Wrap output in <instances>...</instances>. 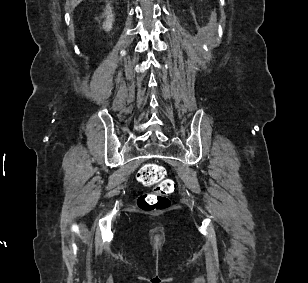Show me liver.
Instances as JSON below:
<instances>
[{
    "label": "liver",
    "mask_w": 308,
    "mask_h": 283,
    "mask_svg": "<svg viewBox=\"0 0 308 283\" xmlns=\"http://www.w3.org/2000/svg\"><path fill=\"white\" fill-rule=\"evenodd\" d=\"M83 0H72V7L75 8L79 3H81Z\"/></svg>",
    "instance_id": "obj_1"
}]
</instances>
